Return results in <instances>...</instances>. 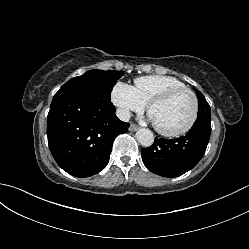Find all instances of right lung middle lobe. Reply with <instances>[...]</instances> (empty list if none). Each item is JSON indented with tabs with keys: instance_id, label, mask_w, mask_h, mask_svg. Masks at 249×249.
<instances>
[{
	"instance_id": "obj_1",
	"label": "right lung middle lobe",
	"mask_w": 249,
	"mask_h": 249,
	"mask_svg": "<svg viewBox=\"0 0 249 249\" xmlns=\"http://www.w3.org/2000/svg\"><path fill=\"white\" fill-rule=\"evenodd\" d=\"M123 75L124 73L120 71L91 70L81 76L72 78L64 85L87 88L110 100L113 86Z\"/></svg>"
}]
</instances>
